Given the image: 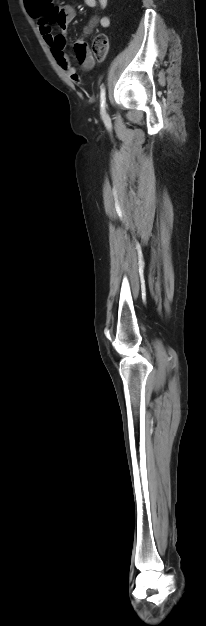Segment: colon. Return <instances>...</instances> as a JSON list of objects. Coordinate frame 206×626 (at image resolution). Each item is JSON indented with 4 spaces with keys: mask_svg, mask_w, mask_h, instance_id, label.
<instances>
[{
    "mask_svg": "<svg viewBox=\"0 0 206 626\" xmlns=\"http://www.w3.org/2000/svg\"><path fill=\"white\" fill-rule=\"evenodd\" d=\"M109 51L108 39L104 34L97 35L92 43V55L98 60L102 61L106 58Z\"/></svg>",
    "mask_w": 206,
    "mask_h": 626,
    "instance_id": "obj_1",
    "label": "colon"
}]
</instances>
